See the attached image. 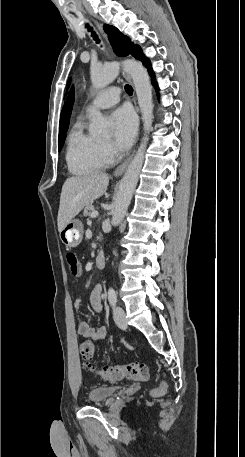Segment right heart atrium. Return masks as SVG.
Returning a JSON list of instances; mask_svg holds the SVG:
<instances>
[{"label": "right heart atrium", "mask_w": 245, "mask_h": 457, "mask_svg": "<svg viewBox=\"0 0 245 457\" xmlns=\"http://www.w3.org/2000/svg\"><path fill=\"white\" fill-rule=\"evenodd\" d=\"M101 150L106 156H112L114 154V150L109 144H101Z\"/></svg>", "instance_id": "right-heart-atrium-1"}]
</instances>
